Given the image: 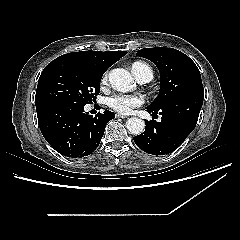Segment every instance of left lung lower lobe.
<instances>
[{
    "label": "left lung lower lobe",
    "instance_id": "obj_1",
    "mask_svg": "<svg viewBox=\"0 0 240 240\" xmlns=\"http://www.w3.org/2000/svg\"><path fill=\"white\" fill-rule=\"evenodd\" d=\"M203 97V92H195L178 97L160 109L146 107L149 113L159 112L161 122L145 120V131L134 137L135 144L152 155L174 151L195 128Z\"/></svg>",
    "mask_w": 240,
    "mask_h": 240
}]
</instances>
